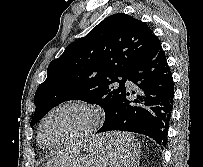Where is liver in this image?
I'll list each match as a JSON object with an SVG mask.
<instances>
[{
  "mask_svg": "<svg viewBox=\"0 0 203 167\" xmlns=\"http://www.w3.org/2000/svg\"><path fill=\"white\" fill-rule=\"evenodd\" d=\"M134 138L128 133H115L100 137L99 141L94 143V147H101L103 143H118L122 146H128ZM74 154L62 153L52 157L45 167H68L74 161Z\"/></svg>",
  "mask_w": 203,
  "mask_h": 167,
  "instance_id": "obj_1",
  "label": "liver"
}]
</instances>
